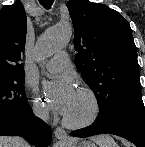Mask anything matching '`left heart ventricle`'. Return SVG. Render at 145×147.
<instances>
[{"mask_svg":"<svg viewBox=\"0 0 145 147\" xmlns=\"http://www.w3.org/2000/svg\"><path fill=\"white\" fill-rule=\"evenodd\" d=\"M90 112V103L88 99L77 92L73 105L66 115L69 119L80 120L88 115Z\"/></svg>","mask_w":145,"mask_h":147,"instance_id":"b2bd125f","label":"left heart ventricle"}]
</instances>
